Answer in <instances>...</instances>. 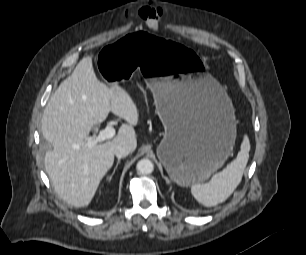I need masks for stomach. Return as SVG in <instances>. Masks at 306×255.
Wrapping results in <instances>:
<instances>
[{
    "instance_id": "obj_1",
    "label": "stomach",
    "mask_w": 306,
    "mask_h": 255,
    "mask_svg": "<svg viewBox=\"0 0 306 255\" xmlns=\"http://www.w3.org/2000/svg\"><path fill=\"white\" fill-rule=\"evenodd\" d=\"M97 65L109 83L145 76L165 128L157 155L176 184L203 182L223 165L235 143L234 108L198 54L160 35L132 31L106 47Z\"/></svg>"
}]
</instances>
